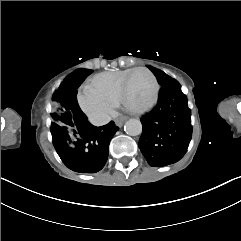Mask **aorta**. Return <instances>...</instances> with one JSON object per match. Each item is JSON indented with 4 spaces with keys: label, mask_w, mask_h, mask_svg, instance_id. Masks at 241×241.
I'll return each mask as SVG.
<instances>
[{
    "label": "aorta",
    "mask_w": 241,
    "mask_h": 241,
    "mask_svg": "<svg viewBox=\"0 0 241 241\" xmlns=\"http://www.w3.org/2000/svg\"><path fill=\"white\" fill-rule=\"evenodd\" d=\"M124 131L130 136H137L142 133V124L138 119H129L124 126Z\"/></svg>",
    "instance_id": "1"
}]
</instances>
